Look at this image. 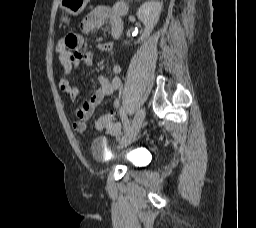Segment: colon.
Returning <instances> with one entry per match:
<instances>
[{
	"label": "colon",
	"mask_w": 256,
	"mask_h": 228,
	"mask_svg": "<svg viewBox=\"0 0 256 228\" xmlns=\"http://www.w3.org/2000/svg\"><path fill=\"white\" fill-rule=\"evenodd\" d=\"M61 45H62V40H60L58 42V45H57L58 50L61 48ZM112 120H113L112 114H105V115L100 116L97 119L96 124H95L96 129L98 131H101V130L107 128L111 123H113Z\"/></svg>",
	"instance_id": "5ec220e1"
}]
</instances>
